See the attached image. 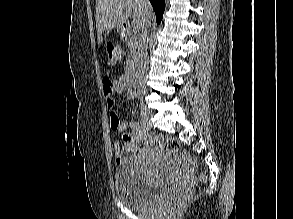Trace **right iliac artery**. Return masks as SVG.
Masks as SVG:
<instances>
[{
    "label": "right iliac artery",
    "mask_w": 293,
    "mask_h": 219,
    "mask_svg": "<svg viewBox=\"0 0 293 219\" xmlns=\"http://www.w3.org/2000/svg\"><path fill=\"white\" fill-rule=\"evenodd\" d=\"M140 124H141V127L144 130H147L148 129V124H147V122L143 118L140 120Z\"/></svg>",
    "instance_id": "1"
}]
</instances>
